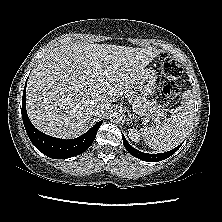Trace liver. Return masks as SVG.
<instances>
[{
	"label": "liver",
	"instance_id": "liver-1",
	"mask_svg": "<svg viewBox=\"0 0 222 222\" xmlns=\"http://www.w3.org/2000/svg\"><path fill=\"white\" fill-rule=\"evenodd\" d=\"M161 52L83 42L48 51L27 84L26 107L31 122L53 137L79 136L92 120L90 110L97 105L109 108L129 92L144 68Z\"/></svg>",
	"mask_w": 222,
	"mask_h": 222
}]
</instances>
